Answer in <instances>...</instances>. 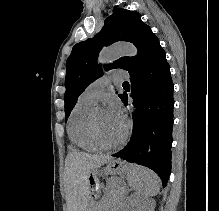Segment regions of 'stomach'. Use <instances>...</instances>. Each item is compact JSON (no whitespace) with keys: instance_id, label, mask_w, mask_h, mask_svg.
Masks as SVG:
<instances>
[{"instance_id":"0dacf381","label":"stomach","mask_w":219,"mask_h":211,"mask_svg":"<svg viewBox=\"0 0 219 211\" xmlns=\"http://www.w3.org/2000/svg\"><path fill=\"white\" fill-rule=\"evenodd\" d=\"M131 166L120 160V159H112L109 162H107L106 166L103 167L102 169L100 168H95L92 169L89 172L88 175V184H89V188L92 191V196H97V189L99 186V178L98 176L100 175H122L125 174L129 171H131ZM92 204L93 201L91 200V204L89 205V207L87 208L86 211H92Z\"/></svg>"}]
</instances>
